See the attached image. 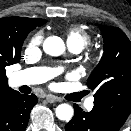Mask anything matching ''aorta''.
Listing matches in <instances>:
<instances>
[{"label": "aorta", "instance_id": "762f6f07", "mask_svg": "<svg viewBox=\"0 0 131 131\" xmlns=\"http://www.w3.org/2000/svg\"><path fill=\"white\" fill-rule=\"evenodd\" d=\"M44 52L51 56H59L64 53L65 45L63 40L58 36L48 37L43 43ZM58 119L69 121L74 114L72 106L69 104H60L55 110Z\"/></svg>", "mask_w": 131, "mask_h": 131}]
</instances>
